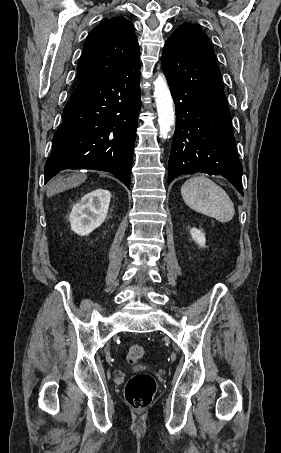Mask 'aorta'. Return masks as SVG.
<instances>
[{
	"instance_id": "762f6f07",
	"label": "aorta",
	"mask_w": 281,
	"mask_h": 453,
	"mask_svg": "<svg viewBox=\"0 0 281 453\" xmlns=\"http://www.w3.org/2000/svg\"><path fill=\"white\" fill-rule=\"evenodd\" d=\"M154 98L157 107L160 137L166 139L171 127L175 123V111L173 98L163 75H159L154 81Z\"/></svg>"
}]
</instances>
